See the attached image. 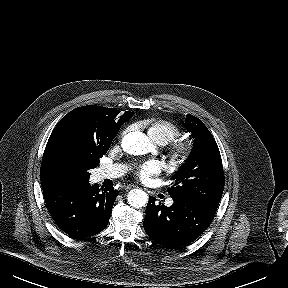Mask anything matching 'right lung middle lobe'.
Instances as JSON below:
<instances>
[{"label": "right lung middle lobe", "instance_id": "right-lung-middle-lobe-1", "mask_svg": "<svg viewBox=\"0 0 288 288\" xmlns=\"http://www.w3.org/2000/svg\"><path fill=\"white\" fill-rule=\"evenodd\" d=\"M109 128L107 135L92 145H81L76 134H62L50 147L45 148L40 176L47 182L78 185L89 181V170L98 166L117 135Z\"/></svg>", "mask_w": 288, "mask_h": 288}]
</instances>
